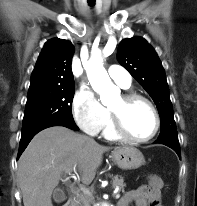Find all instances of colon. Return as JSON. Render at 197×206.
I'll list each match as a JSON object with an SVG mask.
<instances>
[{"label":"colon","mask_w":197,"mask_h":206,"mask_svg":"<svg viewBox=\"0 0 197 206\" xmlns=\"http://www.w3.org/2000/svg\"><path fill=\"white\" fill-rule=\"evenodd\" d=\"M149 184L152 188H160L162 185L161 180L157 176H152L149 180Z\"/></svg>","instance_id":"1"}]
</instances>
